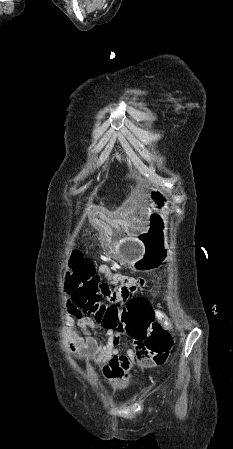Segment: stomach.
Instances as JSON below:
<instances>
[{
  "instance_id": "stomach-1",
  "label": "stomach",
  "mask_w": 233,
  "mask_h": 449,
  "mask_svg": "<svg viewBox=\"0 0 233 449\" xmlns=\"http://www.w3.org/2000/svg\"><path fill=\"white\" fill-rule=\"evenodd\" d=\"M153 199L156 208L149 213V226L146 230L144 223H133L132 229L130 228V221H138V212L92 210L89 214L90 221L95 226L104 227L105 252L137 272L156 270L168 256L166 201L158 192H153ZM120 206L125 210L129 205L124 201ZM120 221H122L121 224ZM134 232L144 233L133 235ZM119 236L123 237L116 238Z\"/></svg>"
}]
</instances>
